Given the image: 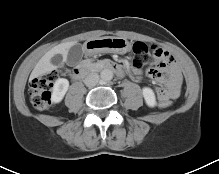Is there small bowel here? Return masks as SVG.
<instances>
[{
  "instance_id": "obj_1",
  "label": "small bowel",
  "mask_w": 219,
  "mask_h": 174,
  "mask_svg": "<svg viewBox=\"0 0 219 174\" xmlns=\"http://www.w3.org/2000/svg\"><path fill=\"white\" fill-rule=\"evenodd\" d=\"M154 51L155 67L149 70L148 75L168 87L167 89L161 85L157 86L154 91L155 97L163 101L175 99L179 95L182 82L180 69L169 51L160 47H154ZM130 72L135 78L140 75V71L137 69H132ZM164 74H167V77Z\"/></svg>"
}]
</instances>
